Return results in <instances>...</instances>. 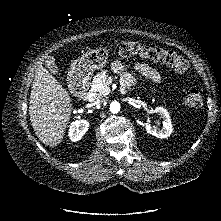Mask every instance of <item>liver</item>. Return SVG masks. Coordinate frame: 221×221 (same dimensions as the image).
Instances as JSON below:
<instances>
[{"label": "liver", "mask_w": 221, "mask_h": 221, "mask_svg": "<svg viewBox=\"0 0 221 221\" xmlns=\"http://www.w3.org/2000/svg\"><path fill=\"white\" fill-rule=\"evenodd\" d=\"M69 93L40 66L32 84L29 116L39 140L47 146H56L63 137L71 118Z\"/></svg>", "instance_id": "liver-1"}]
</instances>
